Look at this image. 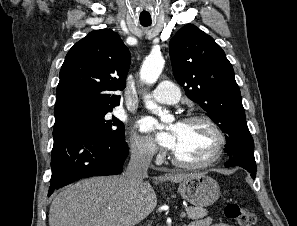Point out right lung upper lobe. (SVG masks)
Segmentation results:
<instances>
[{
	"instance_id": "obj_1",
	"label": "right lung upper lobe",
	"mask_w": 297,
	"mask_h": 226,
	"mask_svg": "<svg viewBox=\"0 0 297 226\" xmlns=\"http://www.w3.org/2000/svg\"><path fill=\"white\" fill-rule=\"evenodd\" d=\"M130 52L111 29L90 32L67 53L56 90L55 120L91 110H112L125 88Z\"/></svg>"
}]
</instances>
